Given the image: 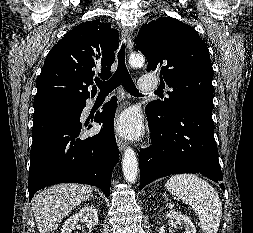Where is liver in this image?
Returning <instances> with one entry per match:
<instances>
[{
    "label": "liver",
    "mask_w": 253,
    "mask_h": 233,
    "mask_svg": "<svg viewBox=\"0 0 253 233\" xmlns=\"http://www.w3.org/2000/svg\"><path fill=\"white\" fill-rule=\"evenodd\" d=\"M93 197L90 186L60 184L38 192L31 205L39 233H54L77 205Z\"/></svg>",
    "instance_id": "liver-1"
}]
</instances>
